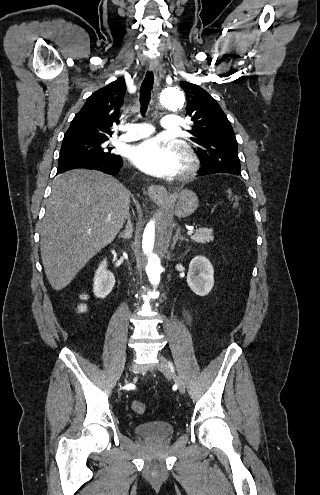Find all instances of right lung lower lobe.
<instances>
[{"mask_svg": "<svg viewBox=\"0 0 320 495\" xmlns=\"http://www.w3.org/2000/svg\"><path fill=\"white\" fill-rule=\"evenodd\" d=\"M123 165L122 158L120 156L114 159L108 160H67L58 164L57 174L63 173L67 170L76 168H86L102 171L107 174H117Z\"/></svg>", "mask_w": 320, "mask_h": 495, "instance_id": "obj_1", "label": "right lung lower lobe"}]
</instances>
